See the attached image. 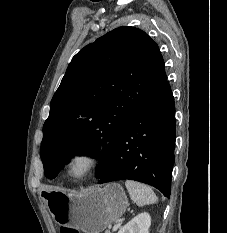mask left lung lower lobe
I'll list each match as a JSON object with an SVG mask.
<instances>
[{"instance_id": "1", "label": "left lung lower lobe", "mask_w": 227, "mask_h": 233, "mask_svg": "<svg viewBox=\"0 0 227 233\" xmlns=\"http://www.w3.org/2000/svg\"><path fill=\"white\" fill-rule=\"evenodd\" d=\"M175 104L168 82L123 129L99 183L135 180L171 192L175 161Z\"/></svg>"}]
</instances>
